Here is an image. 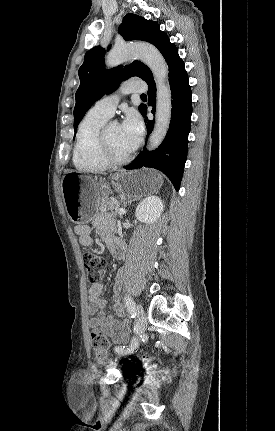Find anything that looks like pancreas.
<instances>
[{"instance_id": "1", "label": "pancreas", "mask_w": 275, "mask_h": 431, "mask_svg": "<svg viewBox=\"0 0 275 431\" xmlns=\"http://www.w3.org/2000/svg\"><path fill=\"white\" fill-rule=\"evenodd\" d=\"M99 210L102 214L111 215L108 211H118L120 202L115 198H108L106 196L99 199Z\"/></svg>"}]
</instances>
